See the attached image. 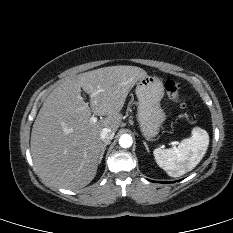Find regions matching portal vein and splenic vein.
<instances>
[{"instance_id": "1", "label": "portal vein and splenic vein", "mask_w": 233, "mask_h": 233, "mask_svg": "<svg viewBox=\"0 0 233 233\" xmlns=\"http://www.w3.org/2000/svg\"><path fill=\"white\" fill-rule=\"evenodd\" d=\"M91 121L96 122V121H97V118H96L95 116H92V117H91Z\"/></svg>"}]
</instances>
